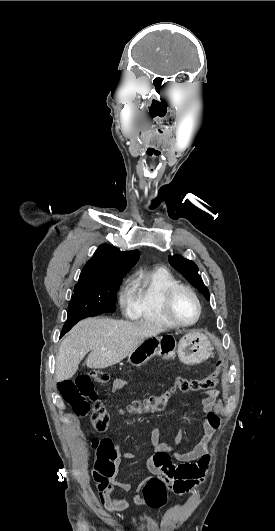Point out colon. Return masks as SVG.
<instances>
[{"label":"colon","instance_id":"obj_1","mask_svg":"<svg viewBox=\"0 0 275 531\" xmlns=\"http://www.w3.org/2000/svg\"><path fill=\"white\" fill-rule=\"evenodd\" d=\"M223 368V360H219L216 370L208 376L202 378L181 377L175 381H164L161 384L162 391H157L148 398L134 402L129 411L134 414L155 413L162 410L169 403L175 392L211 391L217 387ZM107 380L108 376L104 372L84 373L74 380L62 382L58 387L67 404L79 417H86L90 402L95 403L92 421L101 432L108 428L111 415L97 399L93 383L106 382ZM150 481L141 490V495L146 499L145 507L151 510L162 509L167 499L166 486L162 482L155 483L157 481L155 476H152Z\"/></svg>","mask_w":275,"mask_h":531}]
</instances>
